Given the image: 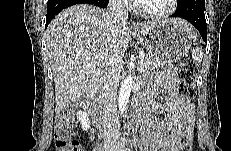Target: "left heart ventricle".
<instances>
[{
	"label": "left heart ventricle",
	"instance_id": "left-heart-ventricle-1",
	"mask_svg": "<svg viewBox=\"0 0 231 151\" xmlns=\"http://www.w3.org/2000/svg\"><path fill=\"white\" fill-rule=\"evenodd\" d=\"M169 0H146L142 3L143 7L151 11H161L168 6Z\"/></svg>",
	"mask_w": 231,
	"mask_h": 151
}]
</instances>
